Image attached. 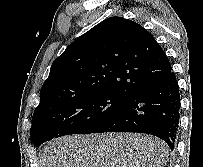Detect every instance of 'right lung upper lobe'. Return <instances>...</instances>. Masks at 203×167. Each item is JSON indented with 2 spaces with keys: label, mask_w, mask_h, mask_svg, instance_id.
<instances>
[{
  "label": "right lung upper lobe",
  "mask_w": 203,
  "mask_h": 167,
  "mask_svg": "<svg viewBox=\"0 0 203 167\" xmlns=\"http://www.w3.org/2000/svg\"><path fill=\"white\" fill-rule=\"evenodd\" d=\"M170 71V62L151 33L131 20L110 17L54 60L35 111L97 92L129 97Z\"/></svg>",
  "instance_id": "1"
}]
</instances>
